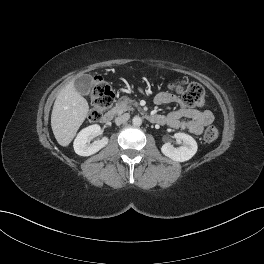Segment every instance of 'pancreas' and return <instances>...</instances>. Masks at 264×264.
Wrapping results in <instances>:
<instances>
[{
    "label": "pancreas",
    "mask_w": 264,
    "mask_h": 264,
    "mask_svg": "<svg viewBox=\"0 0 264 264\" xmlns=\"http://www.w3.org/2000/svg\"><path fill=\"white\" fill-rule=\"evenodd\" d=\"M137 103L134 100H131L130 98L124 96L121 97L118 102L116 103L115 109L117 112H125V111H132L133 107L132 105H136Z\"/></svg>",
    "instance_id": "cf45deb5"
}]
</instances>
